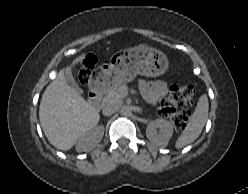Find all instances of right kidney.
I'll return each instance as SVG.
<instances>
[{
	"label": "right kidney",
	"instance_id": "1",
	"mask_svg": "<svg viewBox=\"0 0 248 194\" xmlns=\"http://www.w3.org/2000/svg\"><path fill=\"white\" fill-rule=\"evenodd\" d=\"M103 135L104 127L102 125L90 129L78 139L76 150L83 152L93 149L101 141Z\"/></svg>",
	"mask_w": 248,
	"mask_h": 194
}]
</instances>
